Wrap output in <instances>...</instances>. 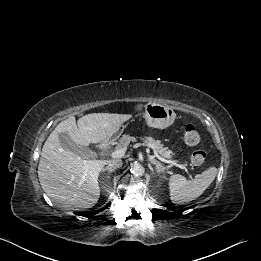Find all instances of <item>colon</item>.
I'll list each match as a JSON object with an SVG mask.
<instances>
[{
  "label": "colon",
  "instance_id": "5ec220e1",
  "mask_svg": "<svg viewBox=\"0 0 261 261\" xmlns=\"http://www.w3.org/2000/svg\"><path fill=\"white\" fill-rule=\"evenodd\" d=\"M184 142L189 146H196L200 142V134L196 127L192 124H188L184 128L183 135ZM206 153L203 150H196L191 155V161L195 165H201L205 162Z\"/></svg>",
  "mask_w": 261,
  "mask_h": 261
}]
</instances>
